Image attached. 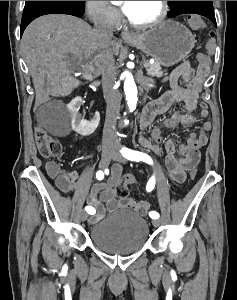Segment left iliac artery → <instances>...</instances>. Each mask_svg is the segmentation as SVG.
<instances>
[{"label":"left iliac artery","mask_w":237,"mask_h":300,"mask_svg":"<svg viewBox=\"0 0 237 300\" xmlns=\"http://www.w3.org/2000/svg\"><path fill=\"white\" fill-rule=\"evenodd\" d=\"M120 152L128 160L136 161V162L144 161L148 164H153V161H152L151 157L149 155L145 154V153L134 151V150H131V149L126 148V147H123ZM154 187H155V177L152 176L149 179V181L146 185V189H147L148 192H150L154 189ZM149 216L152 219H158L159 218V213L155 212V211H151L149 213Z\"/></svg>","instance_id":"44dca946"}]
</instances>
